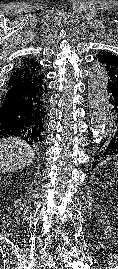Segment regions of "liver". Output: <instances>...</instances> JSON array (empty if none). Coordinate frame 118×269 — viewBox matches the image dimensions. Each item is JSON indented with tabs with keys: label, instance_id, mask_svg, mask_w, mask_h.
Here are the masks:
<instances>
[{
	"label": "liver",
	"instance_id": "1",
	"mask_svg": "<svg viewBox=\"0 0 118 269\" xmlns=\"http://www.w3.org/2000/svg\"><path fill=\"white\" fill-rule=\"evenodd\" d=\"M35 158L33 149L15 137L0 140V172L5 173L29 166Z\"/></svg>",
	"mask_w": 118,
	"mask_h": 269
}]
</instances>
